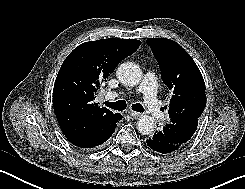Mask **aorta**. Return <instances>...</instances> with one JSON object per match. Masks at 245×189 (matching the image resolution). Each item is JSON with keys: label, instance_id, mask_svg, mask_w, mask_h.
<instances>
[{"label": "aorta", "instance_id": "762f6f07", "mask_svg": "<svg viewBox=\"0 0 245 189\" xmlns=\"http://www.w3.org/2000/svg\"><path fill=\"white\" fill-rule=\"evenodd\" d=\"M119 81L126 86L138 85L142 79V70L132 62L122 63L117 69ZM155 120L150 115H143L137 122V130L143 135L152 134L155 129Z\"/></svg>", "mask_w": 245, "mask_h": 189}]
</instances>
